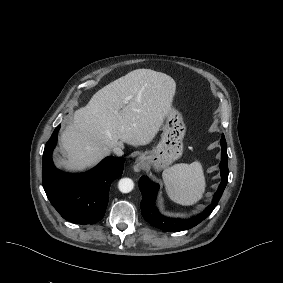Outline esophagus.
I'll use <instances>...</instances> for the list:
<instances>
[{
    "mask_svg": "<svg viewBox=\"0 0 283 283\" xmlns=\"http://www.w3.org/2000/svg\"><path fill=\"white\" fill-rule=\"evenodd\" d=\"M138 167H140L138 164L134 166L135 170H138Z\"/></svg>",
    "mask_w": 283,
    "mask_h": 283,
    "instance_id": "1",
    "label": "esophagus"
}]
</instances>
